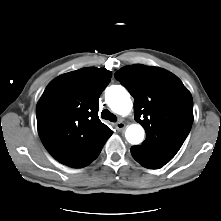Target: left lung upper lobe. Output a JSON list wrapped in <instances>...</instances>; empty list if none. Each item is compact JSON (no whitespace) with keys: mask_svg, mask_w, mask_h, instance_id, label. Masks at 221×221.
<instances>
[{"mask_svg":"<svg viewBox=\"0 0 221 221\" xmlns=\"http://www.w3.org/2000/svg\"><path fill=\"white\" fill-rule=\"evenodd\" d=\"M115 78L134 97V116L149 145L175 156L193 123V100L181 80L169 71L142 64L125 66Z\"/></svg>","mask_w":221,"mask_h":221,"instance_id":"5c2ea615","label":"left lung upper lobe"}]
</instances>
